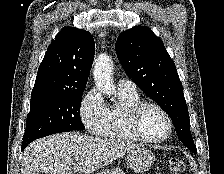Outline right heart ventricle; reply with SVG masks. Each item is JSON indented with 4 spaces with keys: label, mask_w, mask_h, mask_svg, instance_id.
<instances>
[{
    "label": "right heart ventricle",
    "mask_w": 224,
    "mask_h": 174,
    "mask_svg": "<svg viewBox=\"0 0 224 174\" xmlns=\"http://www.w3.org/2000/svg\"><path fill=\"white\" fill-rule=\"evenodd\" d=\"M140 102L137 92L118 91V102L106 107L104 125L98 134L102 138L114 141H140L130 130L127 123L129 110Z\"/></svg>",
    "instance_id": "obj_1"
}]
</instances>
